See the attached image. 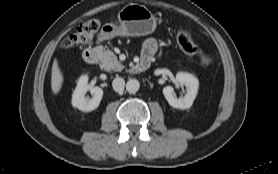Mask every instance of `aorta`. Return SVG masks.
I'll return each mask as SVG.
<instances>
[{
  "instance_id": "762f6f07",
  "label": "aorta",
  "mask_w": 278,
  "mask_h": 174,
  "mask_svg": "<svg viewBox=\"0 0 278 174\" xmlns=\"http://www.w3.org/2000/svg\"><path fill=\"white\" fill-rule=\"evenodd\" d=\"M140 88V83L136 79H129L126 84V90L129 93H136Z\"/></svg>"
}]
</instances>
